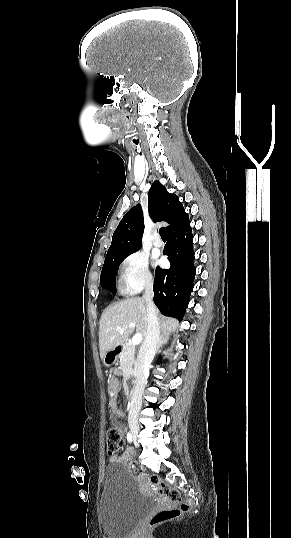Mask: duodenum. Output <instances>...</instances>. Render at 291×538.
Segmentation results:
<instances>
[{"label": "duodenum", "instance_id": "1", "mask_svg": "<svg viewBox=\"0 0 291 538\" xmlns=\"http://www.w3.org/2000/svg\"><path fill=\"white\" fill-rule=\"evenodd\" d=\"M123 351L122 347H117L114 350L109 352V355L113 358H117ZM123 377L125 378V381L123 383V386L125 388L124 394L128 398H132L136 394V388L134 383V378L131 376L129 372H125L123 374Z\"/></svg>", "mask_w": 291, "mask_h": 538}]
</instances>
